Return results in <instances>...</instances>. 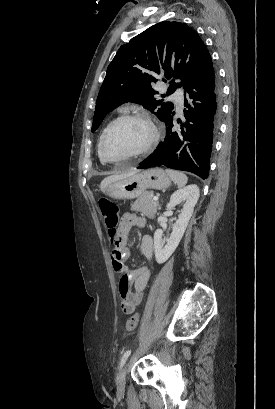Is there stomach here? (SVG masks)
Segmentation results:
<instances>
[{
  "label": "stomach",
  "instance_id": "stomach-1",
  "mask_svg": "<svg viewBox=\"0 0 275 409\" xmlns=\"http://www.w3.org/2000/svg\"><path fill=\"white\" fill-rule=\"evenodd\" d=\"M171 184L167 172L163 168H148L143 172H136L132 176L119 178L106 186V194L112 198H137L147 188H168Z\"/></svg>",
  "mask_w": 275,
  "mask_h": 409
}]
</instances>
